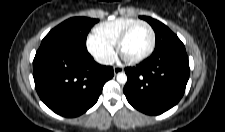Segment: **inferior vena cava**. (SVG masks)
Wrapping results in <instances>:
<instances>
[{
    "label": "inferior vena cava",
    "instance_id": "inferior-vena-cava-1",
    "mask_svg": "<svg viewBox=\"0 0 225 132\" xmlns=\"http://www.w3.org/2000/svg\"><path fill=\"white\" fill-rule=\"evenodd\" d=\"M97 62L104 65H112L115 62V58L114 57L99 58L97 59Z\"/></svg>",
    "mask_w": 225,
    "mask_h": 132
}]
</instances>
